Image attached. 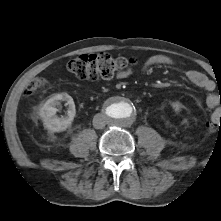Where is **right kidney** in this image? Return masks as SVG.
I'll list each match as a JSON object with an SVG mask.
<instances>
[{"instance_id":"right-kidney-1","label":"right kidney","mask_w":221,"mask_h":221,"mask_svg":"<svg viewBox=\"0 0 221 221\" xmlns=\"http://www.w3.org/2000/svg\"><path fill=\"white\" fill-rule=\"evenodd\" d=\"M60 101H66L68 106L67 116L58 117L56 112ZM76 115L75 104L73 98L67 93L56 94L49 98L40 109V117L42 118L45 128L52 132H62L71 126Z\"/></svg>"}]
</instances>
